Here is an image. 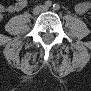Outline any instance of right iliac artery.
Returning a JSON list of instances; mask_svg holds the SVG:
<instances>
[{
  "instance_id": "right-iliac-artery-1",
  "label": "right iliac artery",
  "mask_w": 91,
  "mask_h": 91,
  "mask_svg": "<svg viewBox=\"0 0 91 91\" xmlns=\"http://www.w3.org/2000/svg\"><path fill=\"white\" fill-rule=\"evenodd\" d=\"M44 6H46V7H51L52 6V2L51 1H46L45 3H44Z\"/></svg>"
}]
</instances>
